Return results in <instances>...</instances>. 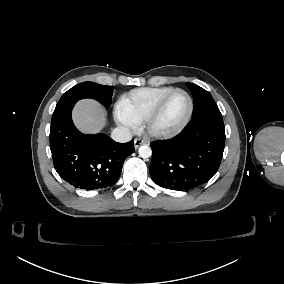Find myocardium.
<instances>
[{"label": "myocardium", "mask_w": 284, "mask_h": 284, "mask_svg": "<svg viewBox=\"0 0 284 284\" xmlns=\"http://www.w3.org/2000/svg\"><path fill=\"white\" fill-rule=\"evenodd\" d=\"M181 91L186 94L188 101H189V110L188 113L184 119V121L181 123L179 127H177L175 130L170 132H156L152 129V122L155 119V117L161 112L166 100L175 92ZM194 112V102L193 98L191 97L190 93L183 89V88H174L173 90L169 91L168 93L164 94L157 102L156 104L147 112L144 119L142 120L141 124L143 129L145 130L146 134L150 137L166 140L171 139L179 135L189 124L192 115Z\"/></svg>", "instance_id": "obj_1"}]
</instances>
